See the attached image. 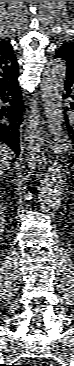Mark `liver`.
I'll list each match as a JSON object with an SVG mask.
<instances>
[{"mask_svg": "<svg viewBox=\"0 0 74 366\" xmlns=\"http://www.w3.org/2000/svg\"><path fill=\"white\" fill-rule=\"evenodd\" d=\"M13 151L5 144H0V171L9 169L10 160L13 157Z\"/></svg>", "mask_w": 74, "mask_h": 366, "instance_id": "obj_1", "label": "liver"}]
</instances>
